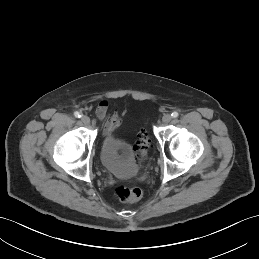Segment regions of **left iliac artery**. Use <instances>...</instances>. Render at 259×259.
Masks as SVG:
<instances>
[{
  "label": "left iliac artery",
  "mask_w": 259,
  "mask_h": 259,
  "mask_svg": "<svg viewBox=\"0 0 259 259\" xmlns=\"http://www.w3.org/2000/svg\"><path fill=\"white\" fill-rule=\"evenodd\" d=\"M171 116L173 118H177L179 116V114H178V112L174 111V112H172Z\"/></svg>",
  "instance_id": "obj_1"
}]
</instances>
